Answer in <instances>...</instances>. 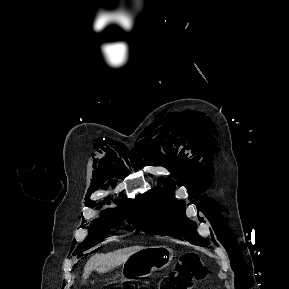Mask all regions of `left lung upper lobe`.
Masks as SVG:
<instances>
[{"instance_id": "obj_1", "label": "left lung upper lobe", "mask_w": 289, "mask_h": 289, "mask_svg": "<svg viewBox=\"0 0 289 289\" xmlns=\"http://www.w3.org/2000/svg\"><path fill=\"white\" fill-rule=\"evenodd\" d=\"M144 231L170 236L199 246H207L196 231V224L185 215V202L173 200V191L167 186L152 189L139 199Z\"/></svg>"}]
</instances>
